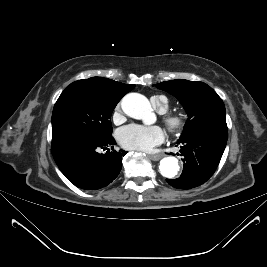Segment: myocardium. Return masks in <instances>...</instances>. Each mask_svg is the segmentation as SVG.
Masks as SVG:
<instances>
[{
  "instance_id": "obj_1",
  "label": "myocardium",
  "mask_w": 267,
  "mask_h": 267,
  "mask_svg": "<svg viewBox=\"0 0 267 267\" xmlns=\"http://www.w3.org/2000/svg\"><path fill=\"white\" fill-rule=\"evenodd\" d=\"M163 122L172 134H180L186 127V119L178 113H170L164 116Z\"/></svg>"
}]
</instances>
